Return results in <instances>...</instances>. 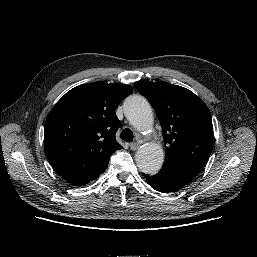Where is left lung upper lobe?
Here are the masks:
<instances>
[{
  "label": "left lung upper lobe",
  "mask_w": 257,
  "mask_h": 257,
  "mask_svg": "<svg viewBox=\"0 0 257 257\" xmlns=\"http://www.w3.org/2000/svg\"><path fill=\"white\" fill-rule=\"evenodd\" d=\"M135 86L151 103L162 126L164 165L197 176L213 149V125L206 104L178 85L141 80Z\"/></svg>",
  "instance_id": "left-lung-upper-lobe-1"
}]
</instances>
